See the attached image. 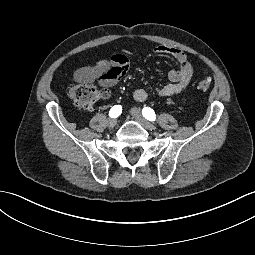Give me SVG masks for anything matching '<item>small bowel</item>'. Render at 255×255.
<instances>
[{
  "label": "small bowel",
  "instance_id": "small-bowel-1",
  "mask_svg": "<svg viewBox=\"0 0 255 255\" xmlns=\"http://www.w3.org/2000/svg\"><path fill=\"white\" fill-rule=\"evenodd\" d=\"M153 52L168 55L178 62V67L168 73L170 82L158 89L156 95L165 98L181 94L187 88L193 74V65L187 55L181 49L167 45H158L153 49ZM128 68L127 56L115 54L108 59H101L93 65L77 69L73 78L78 83L97 82L102 87V97L107 98L110 95L109 88L126 74ZM149 97V93L143 88H138L133 92V98L137 102H145Z\"/></svg>",
  "mask_w": 255,
  "mask_h": 255
}]
</instances>
